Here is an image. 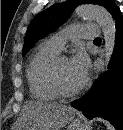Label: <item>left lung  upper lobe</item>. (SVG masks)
Returning <instances> with one entry per match:
<instances>
[{
	"label": "left lung upper lobe",
	"instance_id": "left-lung-upper-lobe-1",
	"mask_svg": "<svg viewBox=\"0 0 123 130\" xmlns=\"http://www.w3.org/2000/svg\"><path fill=\"white\" fill-rule=\"evenodd\" d=\"M85 3L103 6L112 16L118 9L114 0H67L64 3L54 4L37 14L31 21L25 35L22 55L24 56L40 38L53 32L64 23L76 6Z\"/></svg>",
	"mask_w": 123,
	"mask_h": 130
}]
</instances>
